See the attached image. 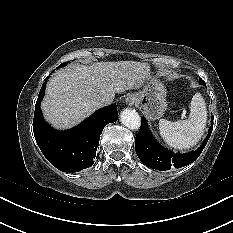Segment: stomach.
Here are the masks:
<instances>
[{
  "label": "stomach",
  "instance_id": "0dacf381",
  "mask_svg": "<svg viewBox=\"0 0 233 233\" xmlns=\"http://www.w3.org/2000/svg\"><path fill=\"white\" fill-rule=\"evenodd\" d=\"M166 94L165 86L159 80L151 78L144 89L132 94V97L135 104L139 105L151 120H156L161 118L167 109Z\"/></svg>",
  "mask_w": 233,
  "mask_h": 233
}]
</instances>
